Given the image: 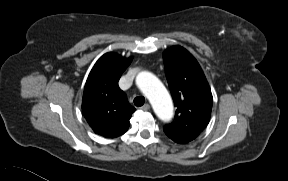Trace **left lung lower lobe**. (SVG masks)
<instances>
[{
    "mask_svg": "<svg viewBox=\"0 0 288 181\" xmlns=\"http://www.w3.org/2000/svg\"><path fill=\"white\" fill-rule=\"evenodd\" d=\"M166 135L173 141L180 143V144H185L195 139V137H190V136H175V135H169V134H166Z\"/></svg>",
    "mask_w": 288,
    "mask_h": 181,
    "instance_id": "0a47b994",
    "label": "left lung lower lobe"
}]
</instances>
